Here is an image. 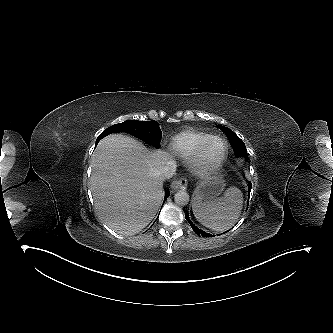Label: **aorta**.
<instances>
[{"label": "aorta", "mask_w": 333, "mask_h": 333, "mask_svg": "<svg viewBox=\"0 0 333 333\" xmlns=\"http://www.w3.org/2000/svg\"><path fill=\"white\" fill-rule=\"evenodd\" d=\"M174 201L178 205L185 206L189 202V194L186 191L180 190L174 195Z\"/></svg>", "instance_id": "1"}]
</instances>
